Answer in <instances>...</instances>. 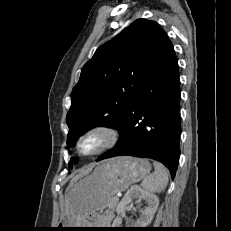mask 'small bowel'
Here are the masks:
<instances>
[{
	"mask_svg": "<svg viewBox=\"0 0 231 231\" xmlns=\"http://www.w3.org/2000/svg\"><path fill=\"white\" fill-rule=\"evenodd\" d=\"M112 218H113V213L111 211H105L101 216L102 222H109L112 220Z\"/></svg>",
	"mask_w": 231,
	"mask_h": 231,
	"instance_id": "obj_1",
	"label": "small bowel"
}]
</instances>
